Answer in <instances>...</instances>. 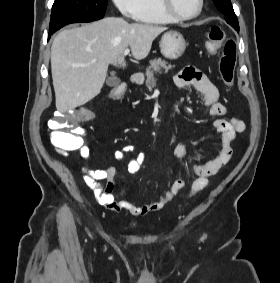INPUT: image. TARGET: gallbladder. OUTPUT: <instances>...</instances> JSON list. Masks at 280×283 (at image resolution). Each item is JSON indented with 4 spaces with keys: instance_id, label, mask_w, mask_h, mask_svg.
I'll list each match as a JSON object with an SVG mask.
<instances>
[{
    "instance_id": "bac80fb5",
    "label": "gallbladder",
    "mask_w": 280,
    "mask_h": 283,
    "mask_svg": "<svg viewBox=\"0 0 280 283\" xmlns=\"http://www.w3.org/2000/svg\"><path fill=\"white\" fill-rule=\"evenodd\" d=\"M120 81V78H118L114 73H111L106 80V84L109 87H115L119 85Z\"/></svg>"
}]
</instances>
